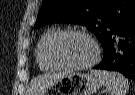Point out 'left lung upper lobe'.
<instances>
[{"instance_id":"5c2ea615","label":"left lung upper lobe","mask_w":135,"mask_h":95,"mask_svg":"<svg viewBox=\"0 0 135 95\" xmlns=\"http://www.w3.org/2000/svg\"><path fill=\"white\" fill-rule=\"evenodd\" d=\"M135 15V0H44L36 29L55 22L84 25L101 44Z\"/></svg>"}]
</instances>
